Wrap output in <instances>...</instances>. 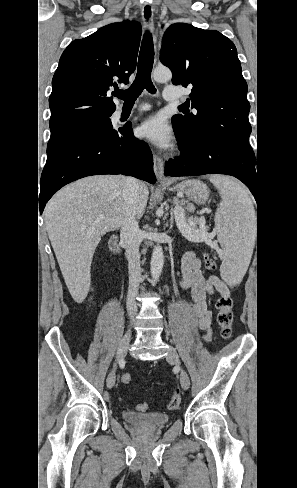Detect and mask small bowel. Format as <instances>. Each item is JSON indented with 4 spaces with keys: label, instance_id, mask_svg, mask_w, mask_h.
Wrapping results in <instances>:
<instances>
[{
    "label": "small bowel",
    "instance_id": "1",
    "mask_svg": "<svg viewBox=\"0 0 297 488\" xmlns=\"http://www.w3.org/2000/svg\"><path fill=\"white\" fill-rule=\"evenodd\" d=\"M180 286L191 290V313L196 318L199 328L205 331V339L209 340L212 334L210 298L215 293L220 297H230L228 285L216 275L205 277L201 270V260L194 252L188 251L182 257Z\"/></svg>",
    "mask_w": 297,
    "mask_h": 488
}]
</instances>
